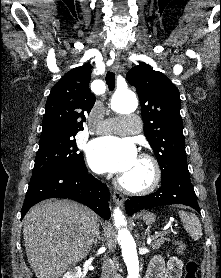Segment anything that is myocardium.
I'll list each match as a JSON object with an SVG mask.
<instances>
[{"instance_id":"myocardium-1","label":"myocardium","mask_w":221,"mask_h":278,"mask_svg":"<svg viewBox=\"0 0 221 278\" xmlns=\"http://www.w3.org/2000/svg\"><path fill=\"white\" fill-rule=\"evenodd\" d=\"M140 159H143L147 161L151 168H152V179L151 181L144 187H131L125 184V182L121 179V177H118L116 179V186L118 187L119 190L126 194L130 195H146L154 192L160 185L161 179H162V170L161 166L158 162V160L148 154V153H140L138 156Z\"/></svg>"}]
</instances>
